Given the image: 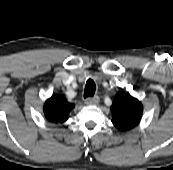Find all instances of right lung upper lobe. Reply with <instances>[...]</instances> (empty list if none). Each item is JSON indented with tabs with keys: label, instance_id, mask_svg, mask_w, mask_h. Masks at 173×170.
I'll return each mask as SVG.
<instances>
[{
	"label": "right lung upper lobe",
	"instance_id": "right-lung-upper-lobe-1",
	"mask_svg": "<svg viewBox=\"0 0 173 170\" xmlns=\"http://www.w3.org/2000/svg\"><path fill=\"white\" fill-rule=\"evenodd\" d=\"M74 105L67 103L59 95L53 94L44 104V114L49 122L63 123L68 119L69 112Z\"/></svg>",
	"mask_w": 173,
	"mask_h": 170
}]
</instances>
